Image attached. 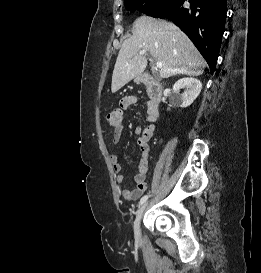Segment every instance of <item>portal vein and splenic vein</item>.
<instances>
[{"label":"portal vein and splenic vein","instance_id":"1","mask_svg":"<svg viewBox=\"0 0 261 273\" xmlns=\"http://www.w3.org/2000/svg\"><path fill=\"white\" fill-rule=\"evenodd\" d=\"M146 52H147V50H146V49H143V50H141V51L139 52V55H144ZM156 67H157V68H162V63H161V62H157V63H156Z\"/></svg>","mask_w":261,"mask_h":273}]
</instances>
